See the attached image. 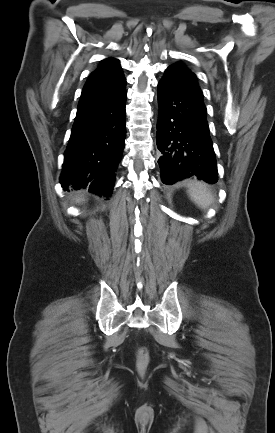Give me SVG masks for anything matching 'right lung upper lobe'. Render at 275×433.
Here are the masks:
<instances>
[{"label": "right lung upper lobe", "mask_w": 275, "mask_h": 433, "mask_svg": "<svg viewBox=\"0 0 275 433\" xmlns=\"http://www.w3.org/2000/svg\"><path fill=\"white\" fill-rule=\"evenodd\" d=\"M125 83L119 61L115 58H107L102 60L100 66L90 74L81 96L103 89L115 88Z\"/></svg>", "instance_id": "right-lung-upper-lobe-1"}]
</instances>
